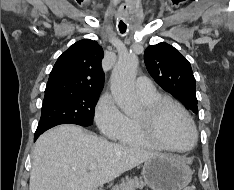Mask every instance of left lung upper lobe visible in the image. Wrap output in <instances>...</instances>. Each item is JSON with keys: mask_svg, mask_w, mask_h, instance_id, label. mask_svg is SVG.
<instances>
[{"mask_svg": "<svg viewBox=\"0 0 234 190\" xmlns=\"http://www.w3.org/2000/svg\"><path fill=\"white\" fill-rule=\"evenodd\" d=\"M144 60L154 80L197 114L196 80L186 58L173 46L159 43L146 48Z\"/></svg>", "mask_w": 234, "mask_h": 190, "instance_id": "1", "label": "left lung upper lobe"}]
</instances>
